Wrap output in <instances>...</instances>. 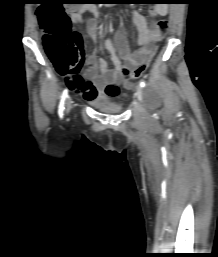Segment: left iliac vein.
<instances>
[{"label":"left iliac vein","instance_id":"1","mask_svg":"<svg viewBox=\"0 0 218 257\" xmlns=\"http://www.w3.org/2000/svg\"><path fill=\"white\" fill-rule=\"evenodd\" d=\"M135 94H136L137 98L142 102L143 101V89H142V87L138 86Z\"/></svg>","mask_w":218,"mask_h":257}]
</instances>
